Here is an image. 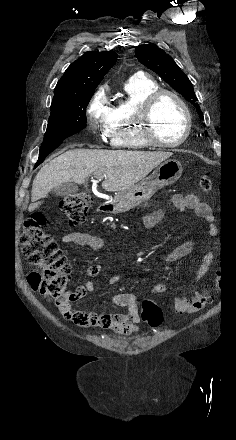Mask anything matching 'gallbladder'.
Returning <instances> with one entry per match:
<instances>
[{"mask_svg": "<svg viewBox=\"0 0 236 440\" xmlns=\"http://www.w3.org/2000/svg\"><path fill=\"white\" fill-rule=\"evenodd\" d=\"M78 191V187L72 183V182H65L62 183L60 185H58L57 187H55L52 190V193L55 196H65V195H70L72 193H75Z\"/></svg>", "mask_w": 236, "mask_h": 440, "instance_id": "gallbladder-1", "label": "gallbladder"}]
</instances>
